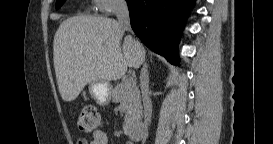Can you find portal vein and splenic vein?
Here are the masks:
<instances>
[{
    "label": "portal vein and splenic vein",
    "instance_id": "obj_1",
    "mask_svg": "<svg viewBox=\"0 0 273 144\" xmlns=\"http://www.w3.org/2000/svg\"><path fill=\"white\" fill-rule=\"evenodd\" d=\"M136 85V82H135V80L133 79V78H129L128 80H127V86L128 87H134Z\"/></svg>",
    "mask_w": 273,
    "mask_h": 144
}]
</instances>
